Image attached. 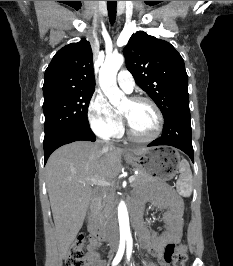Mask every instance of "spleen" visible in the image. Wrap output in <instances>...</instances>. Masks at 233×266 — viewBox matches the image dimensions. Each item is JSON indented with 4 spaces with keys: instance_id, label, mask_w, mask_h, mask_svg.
<instances>
[{
    "instance_id": "obj_1",
    "label": "spleen",
    "mask_w": 233,
    "mask_h": 266,
    "mask_svg": "<svg viewBox=\"0 0 233 266\" xmlns=\"http://www.w3.org/2000/svg\"><path fill=\"white\" fill-rule=\"evenodd\" d=\"M179 171L181 175L177 182V191L180 195L188 197L192 193V173L190 165L185 159L179 163Z\"/></svg>"
}]
</instances>
